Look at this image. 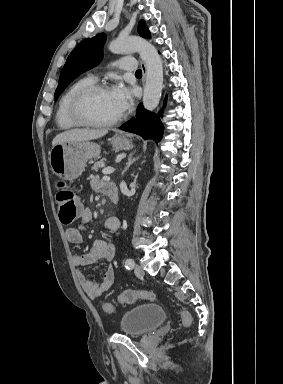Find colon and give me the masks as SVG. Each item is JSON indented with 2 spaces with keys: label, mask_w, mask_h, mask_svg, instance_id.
I'll return each mask as SVG.
<instances>
[{
  "label": "colon",
  "mask_w": 283,
  "mask_h": 384,
  "mask_svg": "<svg viewBox=\"0 0 283 384\" xmlns=\"http://www.w3.org/2000/svg\"><path fill=\"white\" fill-rule=\"evenodd\" d=\"M56 202L59 207V218L63 224H72L80 214L78 199L72 189L63 183L57 185ZM155 295L147 290H127L118 296V302L121 304H130L137 300H154ZM103 310L107 314L114 312V305L110 302L103 304ZM183 326L188 327L192 323V317L188 311L180 312Z\"/></svg>",
  "instance_id": "colon-1"
}]
</instances>
